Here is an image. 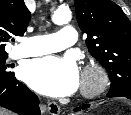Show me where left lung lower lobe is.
<instances>
[{
  "label": "left lung lower lobe",
  "mask_w": 131,
  "mask_h": 115,
  "mask_svg": "<svg viewBox=\"0 0 131 115\" xmlns=\"http://www.w3.org/2000/svg\"><path fill=\"white\" fill-rule=\"evenodd\" d=\"M107 97H113V96H108V95H107ZM125 98L131 99V97H125ZM89 107H90V104H84V105L76 108L74 111L85 110V109H87V108H89Z\"/></svg>",
  "instance_id": "obj_1"
}]
</instances>
